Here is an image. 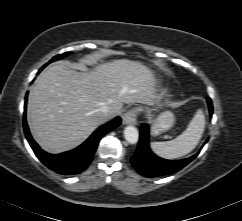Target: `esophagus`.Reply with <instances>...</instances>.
<instances>
[{"mask_svg": "<svg viewBox=\"0 0 242 221\" xmlns=\"http://www.w3.org/2000/svg\"><path fill=\"white\" fill-rule=\"evenodd\" d=\"M136 122V111L131 109L126 111L122 116V123L124 125L134 124Z\"/></svg>", "mask_w": 242, "mask_h": 221, "instance_id": "34e87169", "label": "esophagus"}]
</instances>
